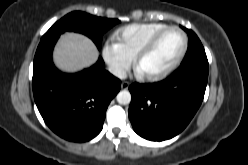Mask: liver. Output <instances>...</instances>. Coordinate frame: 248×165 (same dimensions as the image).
I'll return each instance as SVG.
<instances>
[{
	"label": "liver",
	"mask_w": 248,
	"mask_h": 165,
	"mask_svg": "<svg viewBox=\"0 0 248 165\" xmlns=\"http://www.w3.org/2000/svg\"><path fill=\"white\" fill-rule=\"evenodd\" d=\"M98 55L95 44L88 37L68 32L61 36L54 49L53 58L60 70L74 73L93 65Z\"/></svg>",
	"instance_id": "liver-1"
}]
</instances>
